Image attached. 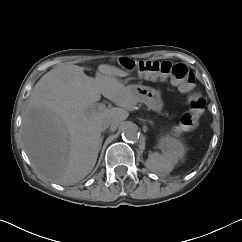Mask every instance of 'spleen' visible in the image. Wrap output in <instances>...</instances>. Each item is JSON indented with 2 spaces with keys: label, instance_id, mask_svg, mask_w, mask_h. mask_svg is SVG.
I'll list each match as a JSON object with an SVG mask.
<instances>
[{
  "label": "spleen",
  "instance_id": "3e777b00",
  "mask_svg": "<svg viewBox=\"0 0 242 242\" xmlns=\"http://www.w3.org/2000/svg\"><path fill=\"white\" fill-rule=\"evenodd\" d=\"M181 157L182 155L175 151H166L163 154L154 153L150 156L148 164L157 172L170 173L174 168V164L178 162Z\"/></svg>",
  "mask_w": 242,
  "mask_h": 242
}]
</instances>
